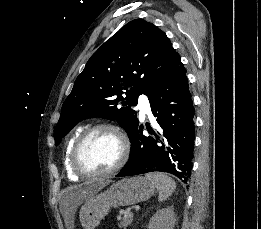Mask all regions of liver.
I'll return each instance as SVG.
<instances>
[{"label":"liver","mask_w":261,"mask_h":229,"mask_svg":"<svg viewBox=\"0 0 261 229\" xmlns=\"http://www.w3.org/2000/svg\"><path fill=\"white\" fill-rule=\"evenodd\" d=\"M110 181H98V183H83V185H77L75 191V199L77 203H84L88 197H92V195H97L101 189H104L106 185H108Z\"/></svg>","instance_id":"liver-1"}]
</instances>
